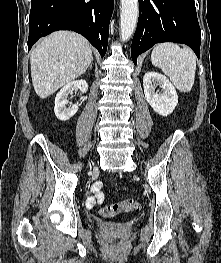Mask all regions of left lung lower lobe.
Wrapping results in <instances>:
<instances>
[{
	"label": "left lung lower lobe",
	"instance_id": "left-lung-lower-lobe-1",
	"mask_svg": "<svg viewBox=\"0 0 221 263\" xmlns=\"http://www.w3.org/2000/svg\"><path fill=\"white\" fill-rule=\"evenodd\" d=\"M160 42L184 43L197 57L201 30L194 0H139V19L131 47L136 64L139 54Z\"/></svg>",
	"mask_w": 221,
	"mask_h": 263
}]
</instances>
